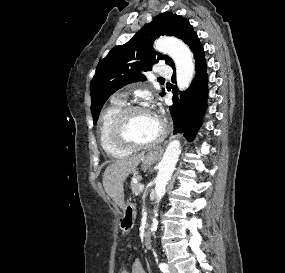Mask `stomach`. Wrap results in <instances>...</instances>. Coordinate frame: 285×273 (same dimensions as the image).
I'll return each mask as SVG.
<instances>
[{
    "label": "stomach",
    "instance_id": "obj_1",
    "mask_svg": "<svg viewBox=\"0 0 285 273\" xmlns=\"http://www.w3.org/2000/svg\"><path fill=\"white\" fill-rule=\"evenodd\" d=\"M159 158V153L158 151H150L146 156H144V159L142 161V166L148 167L151 164L155 163ZM136 217V211H135V206L127 202L124 207V218L122 222L126 221H132ZM123 231H126V226L122 227Z\"/></svg>",
    "mask_w": 285,
    "mask_h": 273
}]
</instances>
